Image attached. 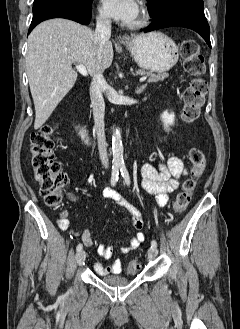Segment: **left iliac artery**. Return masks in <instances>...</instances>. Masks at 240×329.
<instances>
[{
    "label": "left iliac artery",
    "instance_id": "obj_1",
    "mask_svg": "<svg viewBox=\"0 0 240 329\" xmlns=\"http://www.w3.org/2000/svg\"><path fill=\"white\" fill-rule=\"evenodd\" d=\"M120 171L122 174V177L124 178L125 182L127 185H130V177H129V173L128 170L126 169L125 165H122L120 167ZM157 248V242L155 240H152L151 242V248Z\"/></svg>",
    "mask_w": 240,
    "mask_h": 329
}]
</instances>
